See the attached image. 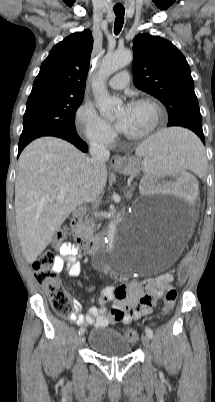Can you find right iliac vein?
Segmentation results:
<instances>
[{
    "label": "right iliac vein",
    "mask_w": 215,
    "mask_h": 402,
    "mask_svg": "<svg viewBox=\"0 0 215 402\" xmlns=\"http://www.w3.org/2000/svg\"><path fill=\"white\" fill-rule=\"evenodd\" d=\"M84 342H85V336L83 334H81L79 336L78 343L80 346H82L84 344Z\"/></svg>",
    "instance_id": "obj_1"
}]
</instances>
